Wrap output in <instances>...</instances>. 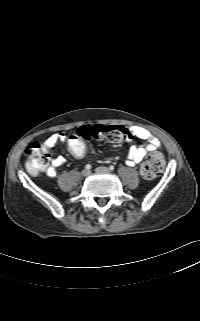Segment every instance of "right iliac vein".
<instances>
[{"label": "right iliac vein", "mask_w": 200, "mask_h": 321, "mask_svg": "<svg viewBox=\"0 0 200 321\" xmlns=\"http://www.w3.org/2000/svg\"><path fill=\"white\" fill-rule=\"evenodd\" d=\"M90 170L89 169H84L82 172H81V175L83 176V177H87V176H89L90 175Z\"/></svg>", "instance_id": "obj_1"}]
</instances>
